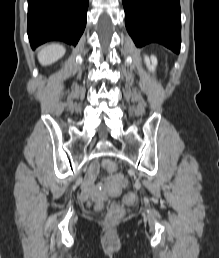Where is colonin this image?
I'll return each mask as SVG.
<instances>
[{
    "label": "colon",
    "instance_id": "1",
    "mask_svg": "<svg viewBox=\"0 0 219 258\" xmlns=\"http://www.w3.org/2000/svg\"><path fill=\"white\" fill-rule=\"evenodd\" d=\"M103 168L109 172H114L116 170V164L111 160H105L103 162ZM126 202H133L136 199V195L134 193H128L124 197ZM89 207L92 210H100L102 208L101 203H89ZM123 213V209L119 204H111L108 208L107 220L109 222L116 221Z\"/></svg>",
    "mask_w": 219,
    "mask_h": 258
}]
</instances>
